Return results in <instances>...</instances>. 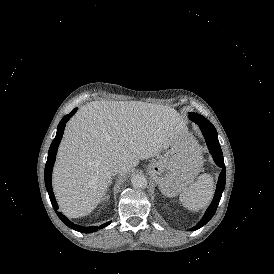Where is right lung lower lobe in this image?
<instances>
[{
	"instance_id": "1",
	"label": "right lung lower lobe",
	"mask_w": 274,
	"mask_h": 274,
	"mask_svg": "<svg viewBox=\"0 0 274 274\" xmlns=\"http://www.w3.org/2000/svg\"><path fill=\"white\" fill-rule=\"evenodd\" d=\"M77 108H75L74 110H72V112L66 116H64L62 118V120L60 121L58 127H57V133H56V137L55 139L52 141V144L50 146L49 152H48V158H47V162H46V166H45V185H46V189L48 191L52 206L54 208V210L56 211L58 217L70 228L82 232V233H92L97 231L98 229H102L103 227L107 226L110 224V222H107L99 227H82V226H78L74 223H72L71 221H69L64 215H62V213L58 212V205L57 202L55 201L54 198V194L52 191V184H51V177H52V168L55 162V157H56V152L59 146V143L61 141L62 135H63V131L65 128V124L66 122L70 119V117H72L75 112H76Z\"/></svg>"
}]
</instances>
